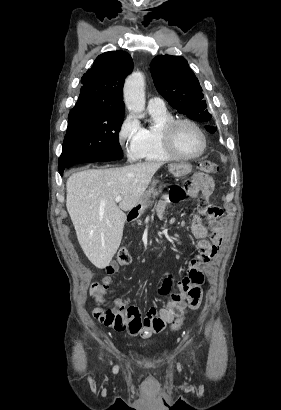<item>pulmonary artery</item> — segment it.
I'll list each match as a JSON object with an SVG mask.
<instances>
[{"mask_svg":"<svg viewBox=\"0 0 281 410\" xmlns=\"http://www.w3.org/2000/svg\"><path fill=\"white\" fill-rule=\"evenodd\" d=\"M164 101L159 97H152L148 101V109H165Z\"/></svg>","mask_w":281,"mask_h":410,"instance_id":"e3ab8cb5","label":"pulmonary artery"}]
</instances>
